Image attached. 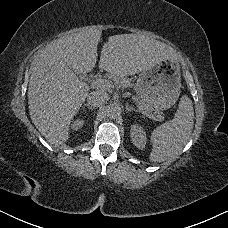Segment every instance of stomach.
<instances>
[{
    "label": "stomach",
    "instance_id": "0dacf381",
    "mask_svg": "<svg viewBox=\"0 0 228 228\" xmlns=\"http://www.w3.org/2000/svg\"><path fill=\"white\" fill-rule=\"evenodd\" d=\"M181 74L176 61L162 62L138 75L135 92L147 111L160 112L172 107L181 92Z\"/></svg>",
    "mask_w": 228,
    "mask_h": 228
}]
</instances>
